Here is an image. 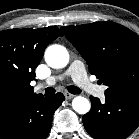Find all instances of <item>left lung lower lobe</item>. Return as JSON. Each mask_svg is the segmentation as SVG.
<instances>
[{
    "instance_id": "obj_1",
    "label": "left lung lower lobe",
    "mask_w": 139,
    "mask_h": 139,
    "mask_svg": "<svg viewBox=\"0 0 139 139\" xmlns=\"http://www.w3.org/2000/svg\"><path fill=\"white\" fill-rule=\"evenodd\" d=\"M91 110L82 118L94 139H124L139 126V89L127 91L105 102L90 96Z\"/></svg>"
}]
</instances>
